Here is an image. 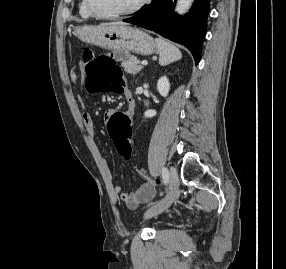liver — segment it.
<instances>
[{
  "mask_svg": "<svg viewBox=\"0 0 286 269\" xmlns=\"http://www.w3.org/2000/svg\"><path fill=\"white\" fill-rule=\"evenodd\" d=\"M103 25H124L122 22H112V23H105Z\"/></svg>",
  "mask_w": 286,
  "mask_h": 269,
  "instance_id": "obj_1",
  "label": "liver"
}]
</instances>
